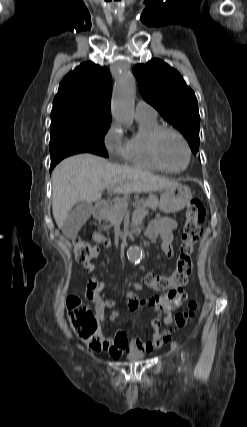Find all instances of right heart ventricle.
<instances>
[{
  "label": "right heart ventricle",
  "mask_w": 247,
  "mask_h": 427,
  "mask_svg": "<svg viewBox=\"0 0 247 427\" xmlns=\"http://www.w3.org/2000/svg\"><path fill=\"white\" fill-rule=\"evenodd\" d=\"M137 130L125 140L123 159L132 165L153 171H163L154 161L150 151V139L161 127L156 117L137 118Z\"/></svg>",
  "instance_id": "e07e8e85"
}]
</instances>
